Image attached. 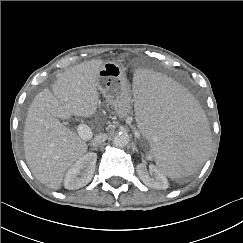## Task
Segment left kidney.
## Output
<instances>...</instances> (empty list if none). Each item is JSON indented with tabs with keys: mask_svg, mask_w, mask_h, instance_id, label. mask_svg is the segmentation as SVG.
<instances>
[{
	"mask_svg": "<svg viewBox=\"0 0 243 243\" xmlns=\"http://www.w3.org/2000/svg\"><path fill=\"white\" fill-rule=\"evenodd\" d=\"M149 169L154 174V177L149 176L145 164L140 163L137 165V172L142 182L152 188L166 189L168 187L166 177L154 165H150Z\"/></svg>",
	"mask_w": 243,
	"mask_h": 243,
	"instance_id": "5707ae66",
	"label": "left kidney"
}]
</instances>
